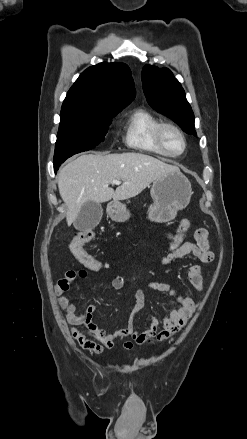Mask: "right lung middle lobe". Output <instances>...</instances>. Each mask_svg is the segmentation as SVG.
<instances>
[{"label":"right lung middle lobe","mask_w":247,"mask_h":439,"mask_svg":"<svg viewBox=\"0 0 247 439\" xmlns=\"http://www.w3.org/2000/svg\"><path fill=\"white\" fill-rule=\"evenodd\" d=\"M116 111H62L54 154V166H60L74 154L97 146L108 131Z\"/></svg>","instance_id":"obj_1"}]
</instances>
